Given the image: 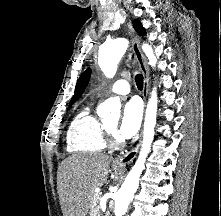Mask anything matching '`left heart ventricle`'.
Listing matches in <instances>:
<instances>
[{"instance_id": "left-heart-ventricle-1", "label": "left heart ventricle", "mask_w": 221, "mask_h": 216, "mask_svg": "<svg viewBox=\"0 0 221 216\" xmlns=\"http://www.w3.org/2000/svg\"><path fill=\"white\" fill-rule=\"evenodd\" d=\"M111 129L115 130L116 127V119H112L106 123Z\"/></svg>"}]
</instances>
